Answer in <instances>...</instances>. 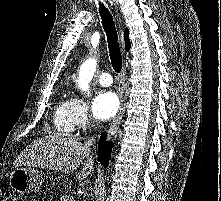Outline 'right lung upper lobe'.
I'll list each match as a JSON object with an SVG mask.
<instances>
[{"mask_svg": "<svg viewBox=\"0 0 221 201\" xmlns=\"http://www.w3.org/2000/svg\"><path fill=\"white\" fill-rule=\"evenodd\" d=\"M124 37H125L126 50L128 51L130 49V40L128 38V30H125Z\"/></svg>", "mask_w": 221, "mask_h": 201, "instance_id": "cb5924a9", "label": "right lung upper lobe"}]
</instances>
